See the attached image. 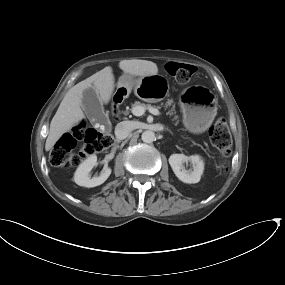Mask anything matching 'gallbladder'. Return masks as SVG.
<instances>
[{
	"label": "gallbladder",
	"mask_w": 285,
	"mask_h": 285,
	"mask_svg": "<svg viewBox=\"0 0 285 285\" xmlns=\"http://www.w3.org/2000/svg\"><path fill=\"white\" fill-rule=\"evenodd\" d=\"M82 106L89 120L100 124L109 123V118L104 112L99 95L93 87H88L83 91Z\"/></svg>",
	"instance_id": "obj_1"
}]
</instances>
